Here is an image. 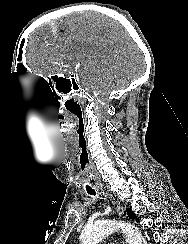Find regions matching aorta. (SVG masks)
Wrapping results in <instances>:
<instances>
[{"instance_id":"1","label":"aorta","mask_w":188,"mask_h":244,"mask_svg":"<svg viewBox=\"0 0 188 244\" xmlns=\"http://www.w3.org/2000/svg\"><path fill=\"white\" fill-rule=\"evenodd\" d=\"M117 230H121L126 235L129 244H146L137 227L117 220H106L85 227L80 235L81 244H97Z\"/></svg>"}]
</instances>
